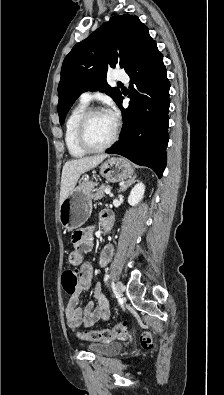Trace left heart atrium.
I'll return each mask as SVG.
<instances>
[{
  "label": "left heart atrium",
  "instance_id": "obj_1",
  "mask_svg": "<svg viewBox=\"0 0 224 395\" xmlns=\"http://www.w3.org/2000/svg\"><path fill=\"white\" fill-rule=\"evenodd\" d=\"M114 122L117 120L118 113L114 106H110L105 112Z\"/></svg>",
  "mask_w": 224,
  "mask_h": 395
}]
</instances>
